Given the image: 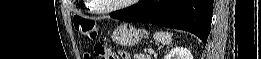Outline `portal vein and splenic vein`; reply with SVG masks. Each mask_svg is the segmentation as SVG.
I'll use <instances>...</instances> for the list:
<instances>
[{
	"label": "portal vein and splenic vein",
	"instance_id": "1",
	"mask_svg": "<svg viewBox=\"0 0 261 59\" xmlns=\"http://www.w3.org/2000/svg\"><path fill=\"white\" fill-rule=\"evenodd\" d=\"M148 52H149L150 54H153V53H154V50L149 49Z\"/></svg>",
	"mask_w": 261,
	"mask_h": 59
}]
</instances>
